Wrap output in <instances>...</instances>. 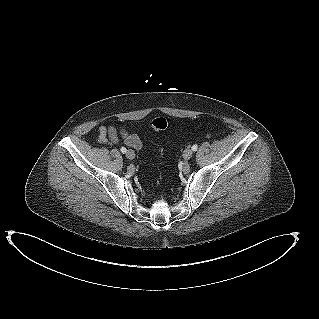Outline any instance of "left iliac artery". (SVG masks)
<instances>
[{
	"mask_svg": "<svg viewBox=\"0 0 319 319\" xmlns=\"http://www.w3.org/2000/svg\"><path fill=\"white\" fill-rule=\"evenodd\" d=\"M197 148H198V146H197L196 144H194V145L192 146V150H193V151H196Z\"/></svg>",
	"mask_w": 319,
	"mask_h": 319,
	"instance_id": "left-iliac-artery-1",
	"label": "left iliac artery"
}]
</instances>
